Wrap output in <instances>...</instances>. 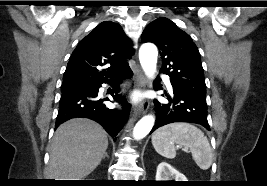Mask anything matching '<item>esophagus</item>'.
Segmentation results:
<instances>
[{"label":"esophagus","mask_w":267,"mask_h":186,"mask_svg":"<svg viewBox=\"0 0 267 186\" xmlns=\"http://www.w3.org/2000/svg\"><path fill=\"white\" fill-rule=\"evenodd\" d=\"M148 84V78L143 73L142 70L138 69L136 74V87L142 91L146 90ZM150 102L148 99H143L141 102L134 107V113L136 114H144L149 109Z\"/></svg>","instance_id":"1"}]
</instances>
